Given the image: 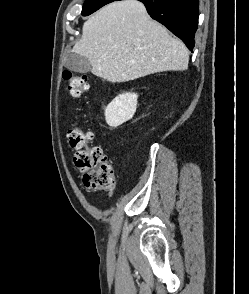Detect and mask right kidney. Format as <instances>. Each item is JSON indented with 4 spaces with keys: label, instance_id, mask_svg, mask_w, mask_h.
<instances>
[{
    "label": "right kidney",
    "instance_id": "obj_1",
    "mask_svg": "<svg viewBox=\"0 0 249 294\" xmlns=\"http://www.w3.org/2000/svg\"><path fill=\"white\" fill-rule=\"evenodd\" d=\"M138 95L123 93L115 97L105 109V119L109 126L117 127L130 120L137 108Z\"/></svg>",
    "mask_w": 249,
    "mask_h": 294
}]
</instances>
